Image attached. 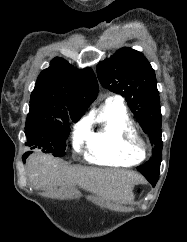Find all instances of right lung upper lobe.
Segmentation results:
<instances>
[{
    "instance_id": "obj_1",
    "label": "right lung upper lobe",
    "mask_w": 187,
    "mask_h": 242,
    "mask_svg": "<svg viewBox=\"0 0 187 242\" xmlns=\"http://www.w3.org/2000/svg\"><path fill=\"white\" fill-rule=\"evenodd\" d=\"M97 94L98 83L90 68L77 70L66 60L56 57L37 78L29 113L82 116Z\"/></svg>"
}]
</instances>
